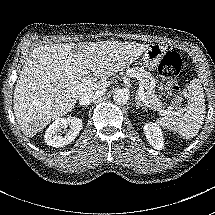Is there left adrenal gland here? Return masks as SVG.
Masks as SVG:
<instances>
[{"label":"left adrenal gland","mask_w":215,"mask_h":215,"mask_svg":"<svg viewBox=\"0 0 215 215\" xmlns=\"http://www.w3.org/2000/svg\"><path fill=\"white\" fill-rule=\"evenodd\" d=\"M135 101L137 103V109L142 108V103H141V101H140V99L138 98L137 95H135Z\"/></svg>","instance_id":"left-adrenal-gland-1"}]
</instances>
